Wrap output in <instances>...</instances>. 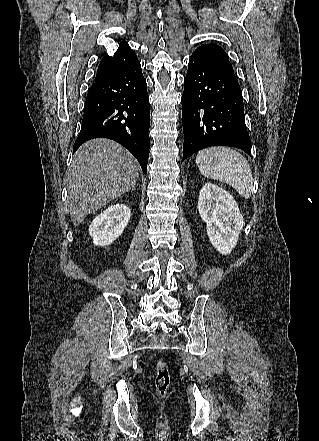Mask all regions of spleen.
<instances>
[{"label": "spleen", "mask_w": 319, "mask_h": 441, "mask_svg": "<svg viewBox=\"0 0 319 441\" xmlns=\"http://www.w3.org/2000/svg\"><path fill=\"white\" fill-rule=\"evenodd\" d=\"M196 164L201 174L232 186L243 198H250L253 187L247 160L229 147H211L197 153Z\"/></svg>", "instance_id": "spleen-1"}]
</instances>
